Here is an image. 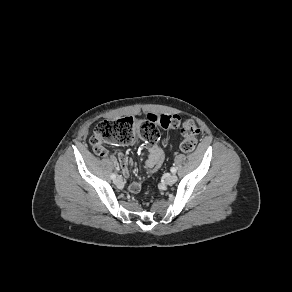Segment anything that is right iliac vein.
I'll return each instance as SVG.
<instances>
[{"instance_id": "63e3f726", "label": "right iliac vein", "mask_w": 292, "mask_h": 292, "mask_svg": "<svg viewBox=\"0 0 292 292\" xmlns=\"http://www.w3.org/2000/svg\"><path fill=\"white\" fill-rule=\"evenodd\" d=\"M114 184L118 187H122L123 186V180L120 176H118L117 178H115L114 180Z\"/></svg>"}]
</instances>
